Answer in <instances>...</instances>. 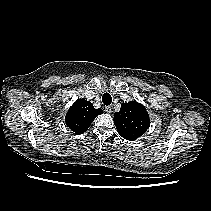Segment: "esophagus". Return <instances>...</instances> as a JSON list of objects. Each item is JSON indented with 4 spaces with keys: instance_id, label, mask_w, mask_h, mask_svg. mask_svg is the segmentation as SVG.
I'll return each instance as SVG.
<instances>
[{
    "instance_id": "34e87169",
    "label": "esophagus",
    "mask_w": 211,
    "mask_h": 211,
    "mask_svg": "<svg viewBox=\"0 0 211 211\" xmlns=\"http://www.w3.org/2000/svg\"><path fill=\"white\" fill-rule=\"evenodd\" d=\"M105 112L108 113V114H110L112 112L111 107L110 106H106L105 107Z\"/></svg>"
}]
</instances>
